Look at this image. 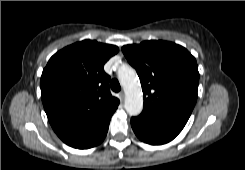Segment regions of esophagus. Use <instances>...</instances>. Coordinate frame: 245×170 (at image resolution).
I'll return each instance as SVG.
<instances>
[{"label": "esophagus", "mask_w": 245, "mask_h": 170, "mask_svg": "<svg viewBox=\"0 0 245 170\" xmlns=\"http://www.w3.org/2000/svg\"><path fill=\"white\" fill-rule=\"evenodd\" d=\"M119 95H120L121 101H123V100H124L125 93H124L123 91H121V92L119 93Z\"/></svg>", "instance_id": "34e87169"}]
</instances>
